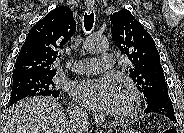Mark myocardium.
I'll use <instances>...</instances> for the list:
<instances>
[{"instance_id": "f54148a6", "label": "myocardium", "mask_w": 184, "mask_h": 133, "mask_svg": "<svg viewBox=\"0 0 184 133\" xmlns=\"http://www.w3.org/2000/svg\"><path fill=\"white\" fill-rule=\"evenodd\" d=\"M120 94L125 100V108L119 112L111 115L113 121L124 123L133 118L139 110V96L132 85H126L120 90Z\"/></svg>"}]
</instances>
